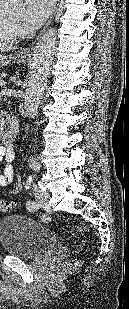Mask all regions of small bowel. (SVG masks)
<instances>
[{"label":"small bowel","mask_w":129,"mask_h":309,"mask_svg":"<svg viewBox=\"0 0 129 309\" xmlns=\"http://www.w3.org/2000/svg\"><path fill=\"white\" fill-rule=\"evenodd\" d=\"M14 159V151L12 147L5 145L0 146V162L5 161L0 172V187H4L12 182L14 169L11 162Z\"/></svg>","instance_id":"small-bowel-1"}]
</instances>
